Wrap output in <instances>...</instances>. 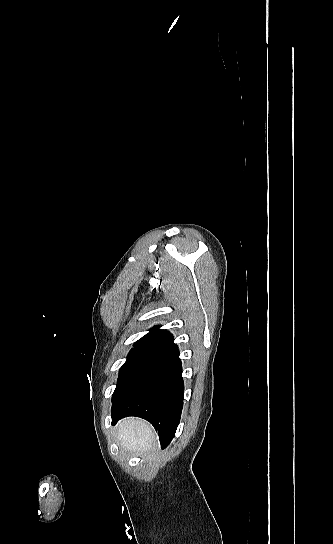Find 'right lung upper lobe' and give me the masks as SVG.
<instances>
[{
  "label": "right lung upper lobe",
  "instance_id": "right-lung-upper-lobe-1",
  "mask_svg": "<svg viewBox=\"0 0 333 544\" xmlns=\"http://www.w3.org/2000/svg\"><path fill=\"white\" fill-rule=\"evenodd\" d=\"M173 341V336L167 330L160 327L152 328L149 333L135 342L134 348L153 349L167 342Z\"/></svg>",
  "mask_w": 333,
  "mask_h": 544
}]
</instances>
